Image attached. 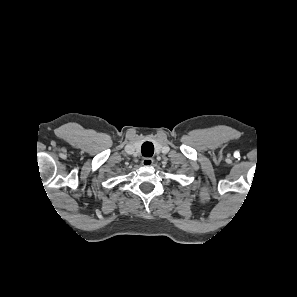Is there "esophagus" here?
I'll list each match as a JSON object with an SVG mask.
<instances>
[{
	"label": "esophagus",
	"instance_id": "34e87169",
	"mask_svg": "<svg viewBox=\"0 0 297 297\" xmlns=\"http://www.w3.org/2000/svg\"><path fill=\"white\" fill-rule=\"evenodd\" d=\"M153 163H154V160L152 158L146 157V158H143L142 160V165L144 166H151L153 165Z\"/></svg>",
	"mask_w": 297,
	"mask_h": 297
}]
</instances>
